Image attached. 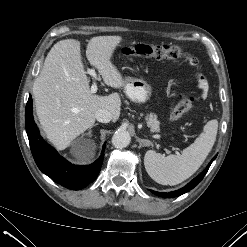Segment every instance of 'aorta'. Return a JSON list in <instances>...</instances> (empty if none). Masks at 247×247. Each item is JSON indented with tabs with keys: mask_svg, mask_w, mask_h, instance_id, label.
Listing matches in <instances>:
<instances>
[{
	"mask_svg": "<svg viewBox=\"0 0 247 247\" xmlns=\"http://www.w3.org/2000/svg\"><path fill=\"white\" fill-rule=\"evenodd\" d=\"M131 136L126 130H118L112 137V144L115 148H125L130 144Z\"/></svg>",
	"mask_w": 247,
	"mask_h": 247,
	"instance_id": "762f6f07",
	"label": "aorta"
}]
</instances>
